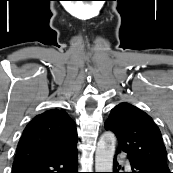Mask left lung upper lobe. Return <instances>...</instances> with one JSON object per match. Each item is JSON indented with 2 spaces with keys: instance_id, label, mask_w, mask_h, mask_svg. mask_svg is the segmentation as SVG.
Here are the masks:
<instances>
[{
  "instance_id": "left-lung-upper-lobe-1",
  "label": "left lung upper lobe",
  "mask_w": 173,
  "mask_h": 173,
  "mask_svg": "<svg viewBox=\"0 0 173 173\" xmlns=\"http://www.w3.org/2000/svg\"><path fill=\"white\" fill-rule=\"evenodd\" d=\"M105 129L117 136V152L169 171L161 132L152 118L139 108L120 103L111 110ZM170 173V172H169Z\"/></svg>"
}]
</instances>
